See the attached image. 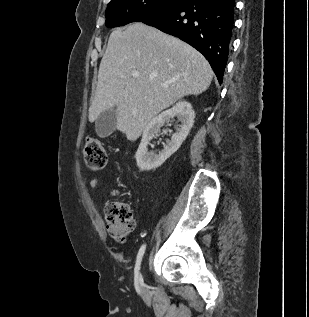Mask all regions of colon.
<instances>
[{
  "instance_id": "1",
  "label": "colon",
  "mask_w": 309,
  "mask_h": 317,
  "mask_svg": "<svg viewBox=\"0 0 309 317\" xmlns=\"http://www.w3.org/2000/svg\"><path fill=\"white\" fill-rule=\"evenodd\" d=\"M87 166L93 170L103 169L107 164V153L103 143L95 137H88L84 144ZM106 230L116 241H125L135 227L130 206L118 199L110 200L104 209Z\"/></svg>"
}]
</instances>
